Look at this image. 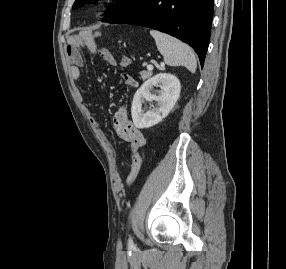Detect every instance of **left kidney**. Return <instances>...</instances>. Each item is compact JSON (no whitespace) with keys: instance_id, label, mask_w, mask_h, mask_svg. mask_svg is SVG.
<instances>
[{"instance_id":"5707ae66","label":"left kidney","mask_w":286,"mask_h":269,"mask_svg":"<svg viewBox=\"0 0 286 269\" xmlns=\"http://www.w3.org/2000/svg\"><path fill=\"white\" fill-rule=\"evenodd\" d=\"M159 86L157 94L151 93ZM181 84L177 77L168 73H159L148 79L134 95L131 114L134 126L139 129L152 127L161 122L172 110L179 99ZM144 101H155L156 106L147 112L142 110Z\"/></svg>"}]
</instances>
